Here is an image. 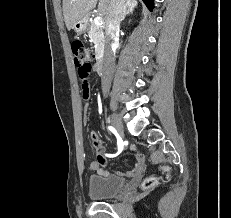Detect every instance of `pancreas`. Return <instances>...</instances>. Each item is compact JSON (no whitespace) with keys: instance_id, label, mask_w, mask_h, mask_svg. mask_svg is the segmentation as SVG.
Listing matches in <instances>:
<instances>
[{"instance_id":"pancreas-1","label":"pancreas","mask_w":231,"mask_h":218,"mask_svg":"<svg viewBox=\"0 0 231 218\" xmlns=\"http://www.w3.org/2000/svg\"><path fill=\"white\" fill-rule=\"evenodd\" d=\"M89 38L95 44L97 54L104 48V29L95 23H91L88 32Z\"/></svg>"}]
</instances>
